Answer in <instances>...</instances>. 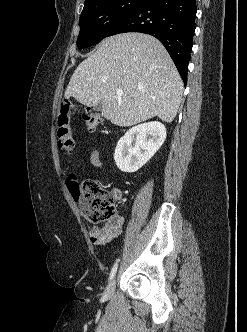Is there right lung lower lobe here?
Listing matches in <instances>:
<instances>
[{
  "label": "right lung lower lobe",
  "mask_w": 247,
  "mask_h": 332,
  "mask_svg": "<svg viewBox=\"0 0 247 332\" xmlns=\"http://www.w3.org/2000/svg\"><path fill=\"white\" fill-rule=\"evenodd\" d=\"M196 12V0H147L121 18L108 36L141 32L158 38L170 54L186 86Z\"/></svg>",
  "instance_id": "right-lung-lower-lobe-1"
}]
</instances>
